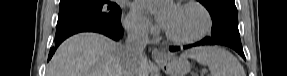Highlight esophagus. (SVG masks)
<instances>
[{"instance_id":"obj_1","label":"esophagus","mask_w":287,"mask_h":76,"mask_svg":"<svg viewBox=\"0 0 287 76\" xmlns=\"http://www.w3.org/2000/svg\"><path fill=\"white\" fill-rule=\"evenodd\" d=\"M152 58L155 61H164V60H166L168 58V55H167V53L165 51L157 49V48H154L152 50Z\"/></svg>"}]
</instances>
